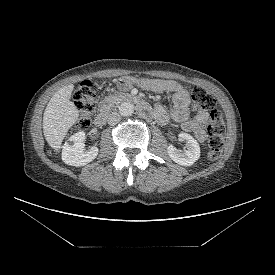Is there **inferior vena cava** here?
<instances>
[{
  "mask_svg": "<svg viewBox=\"0 0 275 275\" xmlns=\"http://www.w3.org/2000/svg\"><path fill=\"white\" fill-rule=\"evenodd\" d=\"M121 117L117 112H112L108 116V124L109 125H115L120 121Z\"/></svg>",
  "mask_w": 275,
  "mask_h": 275,
  "instance_id": "inferior-vena-cava-1",
  "label": "inferior vena cava"
}]
</instances>
